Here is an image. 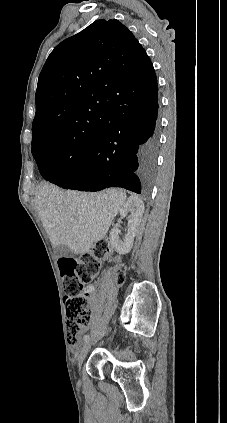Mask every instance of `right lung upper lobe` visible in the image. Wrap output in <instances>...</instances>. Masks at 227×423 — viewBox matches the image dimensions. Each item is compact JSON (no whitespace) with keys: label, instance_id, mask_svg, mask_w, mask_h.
Instances as JSON below:
<instances>
[{"label":"right lung upper lobe","instance_id":"1","mask_svg":"<svg viewBox=\"0 0 227 423\" xmlns=\"http://www.w3.org/2000/svg\"><path fill=\"white\" fill-rule=\"evenodd\" d=\"M157 90L150 58L118 20H96L62 41L38 79L32 142L58 137L79 147L93 144L115 122L108 109Z\"/></svg>","mask_w":227,"mask_h":423}]
</instances>
